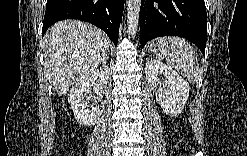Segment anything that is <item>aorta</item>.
I'll return each instance as SVG.
<instances>
[{
  "instance_id": "1",
  "label": "aorta",
  "mask_w": 247,
  "mask_h": 156,
  "mask_svg": "<svg viewBox=\"0 0 247 156\" xmlns=\"http://www.w3.org/2000/svg\"><path fill=\"white\" fill-rule=\"evenodd\" d=\"M141 0L127 1V27L128 33L133 38L138 29Z\"/></svg>"
}]
</instances>
